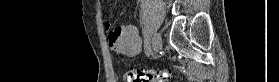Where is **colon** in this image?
<instances>
[{"instance_id":"1","label":"colon","mask_w":279,"mask_h":82,"mask_svg":"<svg viewBox=\"0 0 279 82\" xmlns=\"http://www.w3.org/2000/svg\"><path fill=\"white\" fill-rule=\"evenodd\" d=\"M170 76L168 69H130L124 74V82H166Z\"/></svg>"}]
</instances>
